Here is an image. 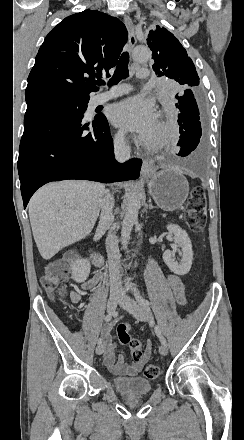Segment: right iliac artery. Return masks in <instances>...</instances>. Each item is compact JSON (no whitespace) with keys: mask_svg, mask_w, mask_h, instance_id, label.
<instances>
[{"mask_svg":"<svg viewBox=\"0 0 244 440\" xmlns=\"http://www.w3.org/2000/svg\"><path fill=\"white\" fill-rule=\"evenodd\" d=\"M113 314L109 313L108 315L105 316L104 320L105 322H110L112 320ZM103 342L102 338H99L97 340L98 345L101 344Z\"/></svg>","mask_w":244,"mask_h":440,"instance_id":"obj_1","label":"right iliac artery"}]
</instances>
